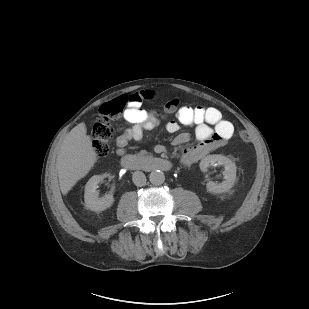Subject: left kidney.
<instances>
[{
  "mask_svg": "<svg viewBox=\"0 0 309 309\" xmlns=\"http://www.w3.org/2000/svg\"><path fill=\"white\" fill-rule=\"evenodd\" d=\"M223 165L225 170L223 172L224 181L222 183H215L209 181L206 184L207 191L213 194H219L229 191L236 181V165L229 158L223 155H208L200 162V169L202 172H206L207 168L214 164Z\"/></svg>",
  "mask_w": 309,
  "mask_h": 309,
  "instance_id": "5707ae66",
  "label": "left kidney"
}]
</instances>
